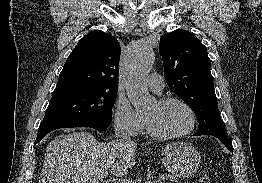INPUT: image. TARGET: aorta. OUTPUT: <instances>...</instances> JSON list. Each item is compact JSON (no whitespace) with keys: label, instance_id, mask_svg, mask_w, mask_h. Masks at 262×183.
<instances>
[{"label":"aorta","instance_id":"aorta-1","mask_svg":"<svg viewBox=\"0 0 262 183\" xmlns=\"http://www.w3.org/2000/svg\"><path fill=\"white\" fill-rule=\"evenodd\" d=\"M154 60L152 48L143 47L131 56L126 66V93L137 112L147 110L154 103L144 80Z\"/></svg>","mask_w":262,"mask_h":183}]
</instances>
